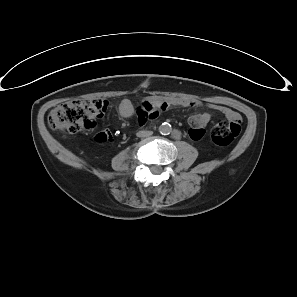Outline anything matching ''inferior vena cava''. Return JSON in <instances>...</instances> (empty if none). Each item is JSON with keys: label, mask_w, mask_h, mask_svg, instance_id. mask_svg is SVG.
Masks as SVG:
<instances>
[{"label": "inferior vena cava", "mask_w": 297, "mask_h": 297, "mask_svg": "<svg viewBox=\"0 0 297 297\" xmlns=\"http://www.w3.org/2000/svg\"><path fill=\"white\" fill-rule=\"evenodd\" d=\"M152 134H153L152 131H147V130H142L136 133L137 137H148Z\"/></svg>", "instance_id": "602c4592"}]
</instances>
